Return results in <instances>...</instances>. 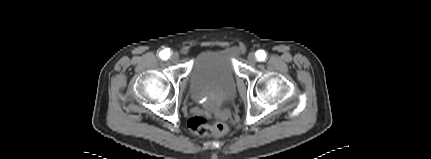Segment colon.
<instances>
[{"mask_svg":"<svg viewBox=\"0 0 431 159\" xmlns=\"http://www.w3.org/2000/svg\"><path fill=\"white\" fill-rule=\"evenodd\" d=\"M189 130L201 136H214L220 137L227 132V126L221 121L209 122V120L202 115H195L188 121Z\"/></svg>","mask_w":431,"mask_h":159,"instance_id":"1","label":"colon"}]
</instances>
